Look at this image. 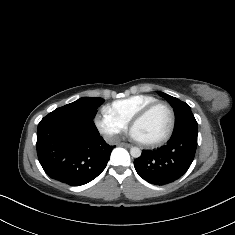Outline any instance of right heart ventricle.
I'll return each mask as SVG.
<instances>
[{
    "label": "right heart ventricle",
    "instance_id": "obj_1",
    "mask_svg": "<svg viewBox=\"0 0 235 235\" xmlns=\"http://www.w3.org/2000/svg\"><path fill=\"white\" fill-rule=\"evenodd\" d=\"M157 101L159 100L150 94H135L116 100L110 107L116 116L128 123L143 108Z\"/></svg>",
    "mask_w": 235,
    "mask_h": 235
}]
</instances>
